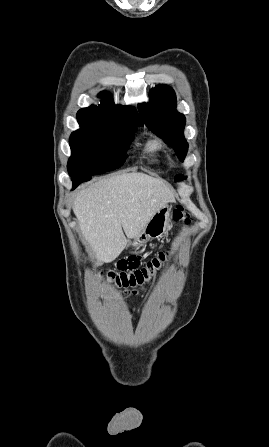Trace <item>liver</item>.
I'll list each match as a JSON object with an SVG mask.
<instances>
[{
  "label": "liver",
  "mask_w": 269,
  "mask_h": 447,
  "mask_svg": "<svg viewBox=\"0 0 269 447\" xmlns=\"http://www.w3.org/2000/svg\"><path fill=\"white\" fill-rule=\"evenodd\" d=\"M168 202H175V198L164 180L131 172L113 174L80 190L72 208L93 249V257L97 261H113L125 249L128 239L143 231Z\"/></svg>",
  "instance_id": "6515ba94"
}]
</instances>
